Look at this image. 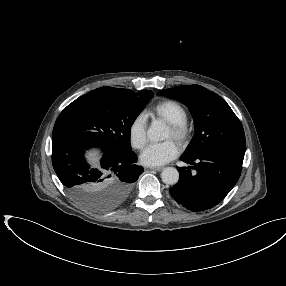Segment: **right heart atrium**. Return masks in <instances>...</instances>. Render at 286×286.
I'll list each match as a JSON object with an SVG mask.
<instances>
[{
    "instance_id": "d8ad5b80",
    "label": "right heart atrium",
    "mask_w": 286,
    "mask_h": 286,
    "mask_svg": "<svg viewBox=\"0 0 286 286\" xmlns=\"http://www.w3.org/2000/svg\"><path fill=\"white\" fill-rule=\"evenodd\" d=\"M128 136L131 145L136 149H142L147 142V119L140 113L133 118L129 125Z\"/></svg>"
}]
</instances>
